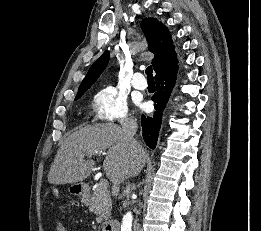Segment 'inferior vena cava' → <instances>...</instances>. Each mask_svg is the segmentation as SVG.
<instances>
[{"label":"inferior vena cava","mask_w":261,"mask_h":231,"mask_svg":"<svg viewBox=\"0 0 261 231\" xmlns=\"http://www.w3.org/2000/svg\"><path fill=\"white\" fill-rule=\"evenodd\" d=\"M121 126H122L123 139L125 143L129 146L133 157L134 158L138 157L139 153L141 152V146L134 139V135L136 134L137 131V123L130 118H126L121 122ZM129 193H130V184L128 183L126 186L127 197L129 196ZM133 231H139L136 221L133 222Z\"/></svg>","instance_id":"obj_1"}]
</instances>
